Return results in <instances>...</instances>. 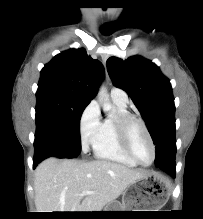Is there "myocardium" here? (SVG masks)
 <instances>
[{"mask_svg": "<svg viewBox=\"0 0 203 219\" xmlns=\"http://www.w3.org/2000/svg\"><path fill=\"white\" fill-rule=\"evenodd\" d=\"M116 125H117V130H118L121 145H122L124 151L127 153V155L135 163H137L140 166L148 167V166L152 165L156 159V153H157L156 152V145H155V142L152 138V135H151L146 123L144 122V120L141 119L140 117L134 115V114H131V113L121 114L116 119ZM135 125L141 126V128L143 129L145 135L147 136V138L150 142L151 148H152L153 157H152L151 162H149L147 164L142 163L140 160H138V158L135 156V154L132 150L131 131Z\"/></svg>", "mask_w": 203, "mask_h": 219, "instance_id": "1", "label": "myocardium"}]
</instances>
